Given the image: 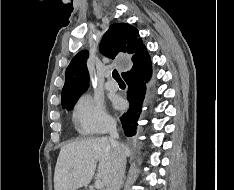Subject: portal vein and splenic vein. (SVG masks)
I'll return each instance as SVG.
<instances>
[{"label":"portal vein and splenic vein","instance_id":"1","mask_svg":"<svg viewBox=\"0 0 234 190\" xmlns=\"http://www.w3.org/2000/svg\"><path fill=\"white\" fill-rule=\"evenodd\" d=\"M103 187V181L101 179H97L95 182V188L101 189Z\"/></svg>","mask_w":234,"mask_h":190}]
</instances>
